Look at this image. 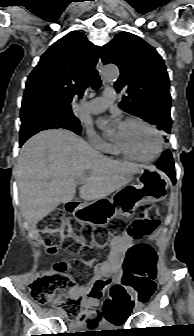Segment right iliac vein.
Listing matches in <instances>:
<instances>
[{
    "label": "right iliac vein",
    "mask_w": 194,
    "mask_h": 336,
    "mask_svg": "<svg viewBox=\"0 0 194 336\" xmlns=\"http://www.w3.org/2000/svg\"><path fill=\"white\" fill-rule=\"evenodd\" d=\"M58 315H59V316H62V311L58 312Z\"/></svg>",
    "instance_id": "obj_1"
}]
</instances>
